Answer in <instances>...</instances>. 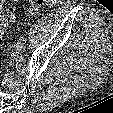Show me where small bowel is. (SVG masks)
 <instances>
[{"label": "small bowel", "mask_w": 113, "mask_h": 113, "mask_svg": "<svg viewBox=\"0 0 113 113\" xmlns=\"http://www.w3.org/2000/svg\"><path fill=\"white\" fill-rule=\"evenodd\" d=\"M5 1L6 0H0V18L1 20L3 19L4 21L3 28L6 26L8 21H14L15 19L14 13L9 9L4 8ZM11 1H17V0H11ZM2 32H3V29L0 26V38H1Z\"/></svg>", "instance_id": "obj_1"}]
</instances>
